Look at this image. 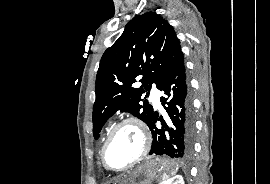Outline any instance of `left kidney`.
I'll use <instances>...</instances> for the list:
<instances>
[{"label":"left kidney","mask_w":270,"mask_h":184,"mask_svg":"<svg viewBox=\"0 0 270 184\" xmlns=\"http://www.w3.org/2000/svg\"><path fill=\"white\" fill-rule=\"evenodd\" d=\"M160 184H185L184 179L181 175H177L175 177H172L170 179H167Z\"/></svg>","instance_id":"left-kidney-1"}]
</instances>
